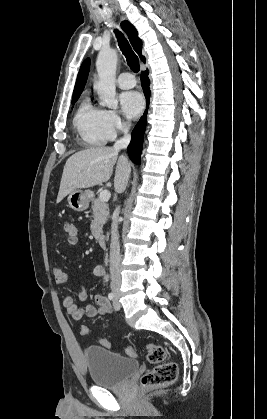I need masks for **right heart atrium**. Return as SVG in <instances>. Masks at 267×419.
<instances>
[{
	"label": "right heart atrium",
	"instance_id": "d8ad5b80",
	"mask_svg": "<svg viewBox=\"0 0 267 419\" xmlns=\"http://www.w3.org/2000/svg\"><path fill=\"white\" fill-rule=\"evenodd\" d=\"M103 128L108 140H112L127 128V124L115 111L103 110Z\"/></svg>",
	"mask_w": 267,
	"mask_h": 419
}]
</instances>
